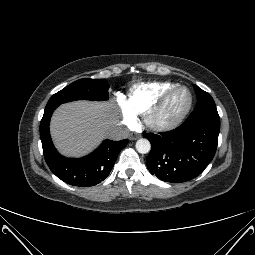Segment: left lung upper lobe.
<instances>
[{"label": "left lung upper lobe", "mask_w": 255, "mask_h": 255, "mask_svg": "<svg viewBox=\"0 0 255 255\" xmlns=\"http://www.w3.org/2000/svg\"><path fill=\"white\" fill-rule=\"evenodd\" d=\"M198 103L195 110L186 119L185 123H204V122H220V118L216 109L213 98L200 89L197 85H194Z\"/></svg>", "instance_id": "5c2ea615"}]
</instances>
